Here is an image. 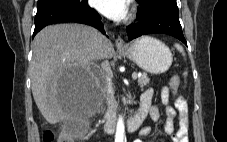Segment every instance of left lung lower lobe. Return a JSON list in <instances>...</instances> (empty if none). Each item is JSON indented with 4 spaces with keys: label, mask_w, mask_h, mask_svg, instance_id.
<instances>
[{
    "label": "left lung lower lobe",
    "mask_w": 227,
    "mask_h": 142,
    "mask_svg": "<svg viewBox=\"0 0 227 142\" xmlns=\"http://www.w3.org/2000/svg\"><path fill=\"white\" fill-rule=\"evenodd\" d=\"M137 17L140 21L127 27L130 41L142 35L162 33L171 35L187 45L179 22V12L155 7L137 14Z\"/></svg>",
    "instance_id": "1"
}]
</instances>
